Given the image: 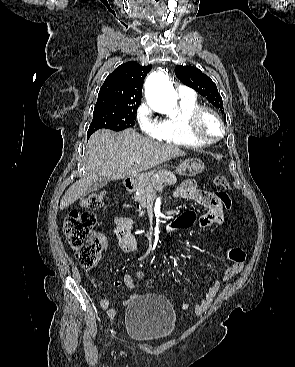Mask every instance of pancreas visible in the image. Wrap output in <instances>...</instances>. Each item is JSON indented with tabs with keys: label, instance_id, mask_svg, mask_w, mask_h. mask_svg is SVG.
Here are the masks:
<instances>
[{
	"label": "pancreas",
	"instance_id": "obj_1",
	"mask_svg": "<svg viewBox=\"0 0 295 367\" xmlns=\"http://www.w3.org/2000/svg\"><path fill=\"white\" fill-rule=\"evenodd\" d=\"M177 178L173 173L170 172H159L153 175L148 181L137 187V194L134 196V200L139 205V215H144V211L141 207L145 208L147 204L148 196L153 194L155 191H161L164 186H171L176 184Z\"/></svg>",
	"mask_w": 295,
	"mask_h": 367
}]
</instances>
